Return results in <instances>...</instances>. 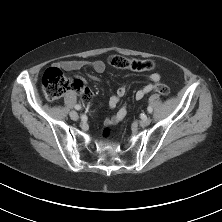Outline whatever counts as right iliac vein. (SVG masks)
I'll return each instance as SVG.
<instances>
[{
  "instance_id": "63e3f726",
  "label": "right iliac vein",
  "mask_w": 222,
  "mask_h": 222,
  "mask_svg": "<svg viewBox=\"0 0 222 222\" xmlns=\"http://www.w3.org/2000/svg\"><path fill=\"white\" fill-rule=\"evenodd\" d=\"M70 117L72 120H78V118H79L78 113L76 111H71Z\"/></svg>"
}]
</instances>
